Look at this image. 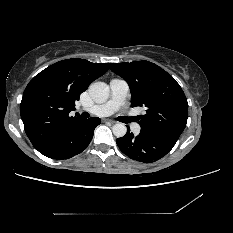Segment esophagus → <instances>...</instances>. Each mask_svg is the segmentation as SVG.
<instances>
[{
    "label": "esophagus",
    "mask_w": 233,
    "mask_h": 233,
    "mask_svg": "<svg viewBox=\"0 0 233 233\" xmlns=\"http://www.w3.org/2000/svg\"><path fill=\"white\" fill-rule=\"evenodd\" d=\"M105 122H110V123H112V124L115 123V121H113V120H111V119H105Z\"/></svg>",
    "instance_id": "obj_1"
}]
</instances>
